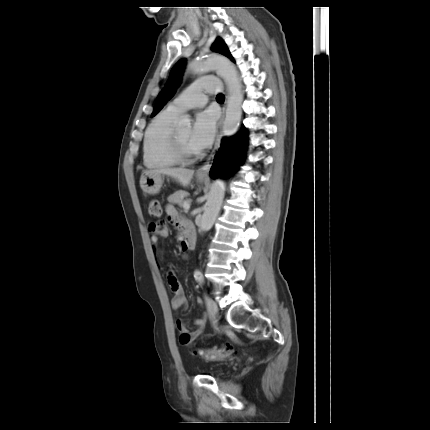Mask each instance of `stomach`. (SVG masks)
<instances>
[{
    "label": "stomach",
    "mask_w": 430,
    "mask_h": 430,
    "mask_svg": "<svg viewBox=\"0 0 430 430\" xmlns=\"http://www.w3.org/2000/svg\"><path fill=\"white\" fill-rule=\"evenodd\" d=\"M205 178V176L197 174V179L199 182H203ZM163 180L164 176L162 174H143L140 178V187L146 194L155 195L160 192Z\"/></svg>",
    "instance_id": "0dacf381"
}]
</instances>
